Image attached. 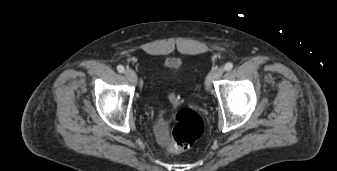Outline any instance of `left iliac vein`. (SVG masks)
Wrapping results in <instances>:
<instances>
[{"label":"left iliac vein","mask_w":337,"mask_h":171,"mask_svg":"<svg viewBox=\"0 0 337 171\" xmlns=\"http://www.w3.org/2000/svg\"><path fill=\"white\" fill-rule=\"evenodd\" d=\"M224 69L223 68H217L212 70L205 81L206 89H210L212 82L219 79L223 75Z\"/></svg>","instance_id":"left-iliac-vein-1"}]
</instances>
